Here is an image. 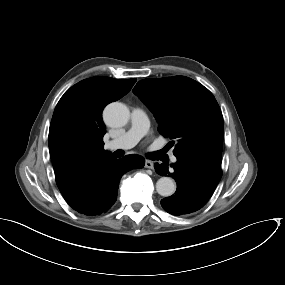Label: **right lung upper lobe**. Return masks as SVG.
I'll return each instance as SVG.
<instances>
[{
    "label": "right lung upper lobe",
    "mask_w": 285,
    "mask_h": 285,
    "mask_svg": "<svg viewBox=\"0 0 285 285\" xmlns=\"http://www.w3.org/2000/svg\"><path fill=\"white\" fill-rule=\"evenodd\" d=\"M135 82L136 79L92 77L73 85L61 97L49 129V152L60 191L93 164L111 157L103 149L102 110L126 95ZM66 133L80 136L85 145L76 146Z\"/></svg>",
    "instance_id": "cb5924a9"
}]
</instances>
